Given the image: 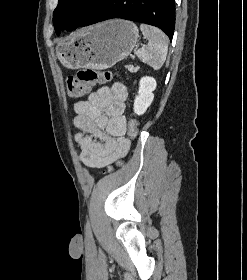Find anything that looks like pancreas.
<instances>
[{
	"label": "pancreas",
	"mask_w": 247,
	"mask_h": 280,
	"mask_svg": "<svg viewBox=\"0 0 247 280\" xmlns=\"http://www.w3.org/2000/svg\"><path fill=\"white\" fill-rule=\"evenodd\" d=\"M126 68L128 69V71L132 72V73H136L139 70V67H134L132 65H128L126 66Z\"/></svg>",
	"instance_id": "1"
}]
</instances>
